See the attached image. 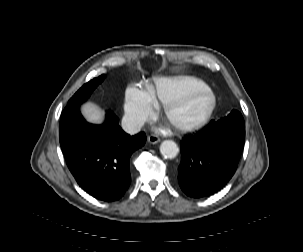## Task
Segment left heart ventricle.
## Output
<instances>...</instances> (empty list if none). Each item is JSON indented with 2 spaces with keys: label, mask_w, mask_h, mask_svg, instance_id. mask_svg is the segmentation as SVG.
<instances>
[{
  "label": "left heart ventricle",
  "mask_w": 303,
  "mask_h": 252,
  "mask_svg": "<svg viewBox=\"0 0 303 252\" xmlns=\"http://www.w3.org/2000/svg\"><path fill=\"white\" fill-rule=\"evenodd\" d=\"M204 107L203 97H198L191 103L177 109L173 114V120L176 122H186L198 117Z\"/></svg>",
  "instance_id": "left-heart-ventricle-1"
}]
</instances>
